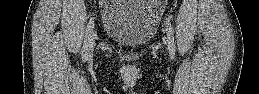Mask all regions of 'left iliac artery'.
Segmentation results:
<instances>
[{"label": "left iliac artery", "mask_w": 259, "mask_h": 94, "mask_svg": "<svg viewBox=\"0 0 259 94\" xmlns=\"http://www.w3.org/2000/svg\"><path fill=\"white\" fill-rule=\"evenodd\" d=\"M167 36H168V47H169V51H170V56L173 59L174 55H175V46H174V36H173V30H172V26L171 23L169 22V20L167 21Z\"/></svg>", "instance_id": "obj_1"}]
</instances>
